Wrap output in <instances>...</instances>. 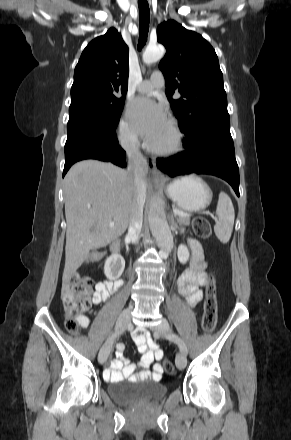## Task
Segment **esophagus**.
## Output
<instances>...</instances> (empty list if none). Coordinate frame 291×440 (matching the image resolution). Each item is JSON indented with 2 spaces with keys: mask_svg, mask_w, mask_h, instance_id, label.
Returning a JSON list of instances; mask_svg holds the SVG:
<instances>
[{
  "mask_svg": "<svg viewBox=\"0 0 291 440\" xmlns=\"http://www.w3.org/2000/svg\"><path fill=\"white\" fill-rule=\"evenodd\" d=\"M152 182L154 185H160L164 183L163 176L156 167L152 169Z\"/></svg>",
  "mask_w": 291,
  "mask_h": 440,
  "instance_id": "obj_1",
  "label": "esophagus"
}]
</instances>
